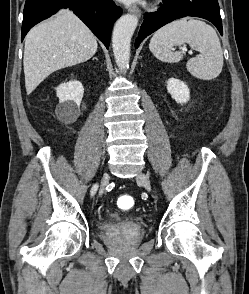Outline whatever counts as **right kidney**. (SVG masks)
Returning a JSON list of instances; mask_svg holds the SVG:
<instances>
[{
	"mask_svg": "<svg viewBox=\"0 0 249 294\" xmlns=\"http://www.w3.org/2000/svg\"><path fill=\"white\" fill-rule=\"evenodd\" d=\"M84 88L80 81L71 80L60 84L56 89L59 104L56 114L64 122H75L79 116V106Z\"/></svg>",
	"mask_w": 249,
	"mask_h": 294,
	"instance_id": "obj_1",
	"label": "right kidney"
}]
</instances>
